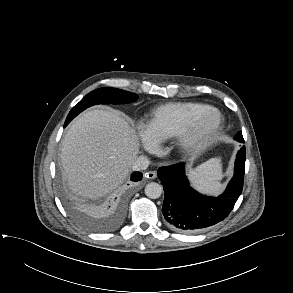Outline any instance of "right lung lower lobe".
<instances>
[{
  "label": "right lung lower lobe",
  "mask_w": 293,
  "mask_h": 293,
  "mask_svg": "<svg viewBox=\"0 0 293 293\" xmlns=\"http://www.w3.org/2000/svg\"><path fill=\"white\" fill-rule=\"evenodd\" d=\"M142 179V173L140 172H134L131 176L132 181H139ZM101 209L105 212L113 213L114 215L121 216L123 213V205L121 201L118 200H112L109 203H105Z\"/></svg>",
  "instance_id": "98d812e1"
}]
</instances>
